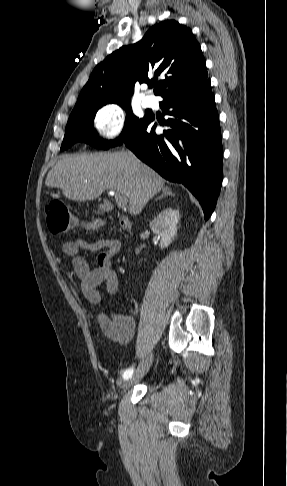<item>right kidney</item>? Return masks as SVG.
Instances as JSON below:
<instances>
[{
  "label": "right kidney",
  "instance_id": "right-kidney-1",
  "mask_svg": "<svg viewBox=\"0 0 287 486\" xmlns=\"http://www.w3.org/2000/svg\"><path fill=\"white\" fill-rule=\"evenodd\" d=\"M180 219L178 210L171 207L162 210L151 222V230L161 236L160 248L168 247L177 234V224Z\"/></svg>",
  "mask_w": 287,
  "mask_h": 486
}]
</instances>
